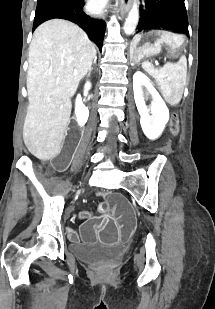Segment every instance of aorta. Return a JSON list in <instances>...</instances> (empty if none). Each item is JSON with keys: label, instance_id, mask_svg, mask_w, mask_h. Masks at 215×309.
Instances as JSON below:
<instances>
[{"label": "aorta", "instance_id": "762f6f07", "mask_svg": "<svg viewBox=\"0 0 215 309\" xmlns=\"http://www.w3.org/2000/svg\"><path fill=\"white\" fill-rule=\"evenodd\" d=\"M139 20V10L137 2H133L128 16L126 18V22L123 26L125 34H132L134 32Z\"/></svg>", "mask_w": 215, "mask_h": 309}]
</instances>
